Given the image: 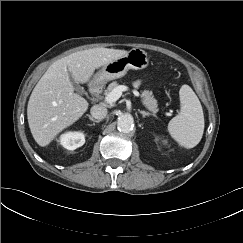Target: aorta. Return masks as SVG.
Masks as SVG:
<instances>
[{"label":"aorta","mask_w":243,"mask_h":243,"mask_svg":"<svg viewBox=\"0 0 243 243\" xmlns=\"http://www.w3.org/2000/svg\"><path fill=\"white\" fill-rule=\"evenodd\" d=\"M134 125V119L131 114L123 113L118 117L117 128L120 132L129 133Z\"/></svg>","instance_id":"1"}]
</instances>
